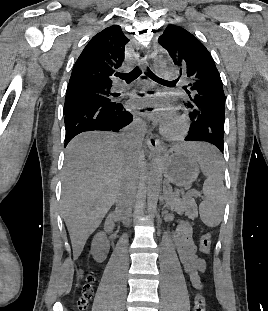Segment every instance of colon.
Returning <instances> with one entry per match:
<instances>
[{"instance_id":"obj_1","label":"colon","mask_w":268,"mask_h":311,"mask_svg":"<svg viewBox=\"0 0 268 311\" xmlns=\"http://www.w3.org/2000/svg\"><path fill=\"white\" fill-rule=\"evenodd\" d=\"M212 238L209 233L201 235L199 240L200 251L204 254H208L211 250ZM95 281L94 274L92 272H86L81 275V281L79 283L80 296L77 299V308L83 311L87 308L88 302L93 295L92 285ZM194 311H206V299L201 291H199L194 298Z\"/></svg>"}]
</instances>
